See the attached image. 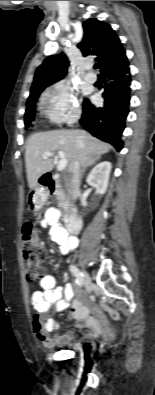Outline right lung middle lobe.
I'll return each instance as SVG.
<instances>
[{"label": "right lung middle lobe", "instance_id": "obj_1", "mask_svg": "<svg viewBox=\"0 0 155 395\" xmlns=\"http://www.w3.org/2000/svg\"><path fill=\"white\" fill-rule=\"evenodd\" d=\"M43 90H40L39 92H37L35 95L30 97L28 99V101H27V109H26V112H25V125H26V127H28L30 125L31 121L34 120L35 102H36L38 96L40 95V93Z\"/></svg>", "mask_w": 155, "mask_h": 395}]
</instances>
